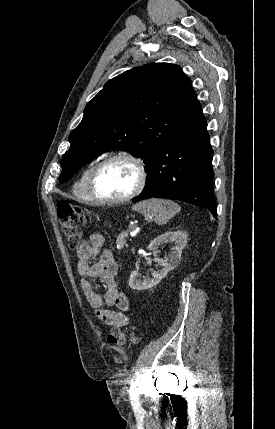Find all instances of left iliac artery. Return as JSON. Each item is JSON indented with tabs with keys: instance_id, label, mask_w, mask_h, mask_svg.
Here are the masks:
<instances>
[{
	"instance_id": "44dca946",
	"label": "left iliac artery",
	"mask_w": 275,
	"mask_h": 429,
	"mask_svg": "<svg viewBox=\"0 0 275 429\" xmlns=\"http://www.w3.org/2000/svg\"><path fill=\"white\" fill-rule=\"evenodd\" d=\"M130 400L133 406L135 407L139 406V395L135 388V385H132L130 388Z\"/></svg>"
}]
</instances>
